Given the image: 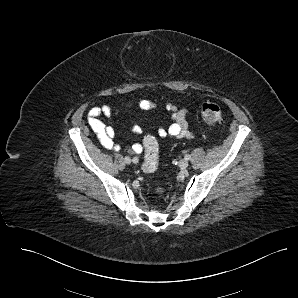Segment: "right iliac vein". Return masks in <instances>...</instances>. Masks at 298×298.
Instances as JSON below:
<instances>
[{
  "label": "right iliac vein",
  "instance_id": "1",
  "mask_svg": "<svg viewBox=\"0 0 298 298\" xmlns=\"http://www.w3.org/2000/svg\"><path fill=\"white\" fill-rule=\"evenodd\" d=\"M124 162L126 163V164H130L131 163V158L130 157H125L124 158Z\"/></svg>",
  "mask_w": 298,
  "mask_h": 298
}]
</instances>
